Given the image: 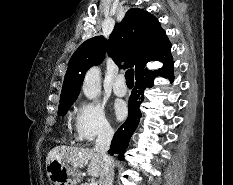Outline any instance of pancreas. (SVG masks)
<instances>
[{"label": "pancreas", "mask_w": 233, "mask_h": 185, "mask_svg": "<svg viewBox=\"0 0 233 185\" xmlns=\"http://www.w3.org/2000/svg\"><path fill=\"white\" fill-rule=\"evenodd\" d=\"M81 185H88L87 183H83V184H81Z\"/></svg>", "instance_id": "1"}]
</instances>
